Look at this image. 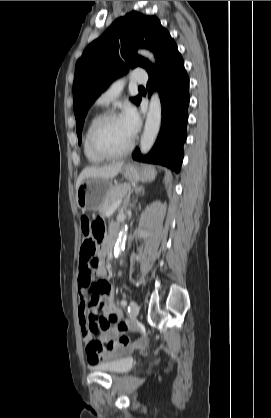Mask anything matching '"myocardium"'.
Wrapping results in <instances>:
<instances>
[{"label":"myocardium","mask_w":271,"mask_h":418,"mask_svg":"<svg viewBox=\"0 0 271 418\" xmlns=\"http://www.w3.org/2000/svg\"><path fill=\"white\" fill-rule=\"evenodd\" d=\"M119 117L120 115L117 112L109 111V112L102 114L100 117H98V119L93 124L89 133V145H90L91 150L99 157H102L104 159H115V158L126 156L132 151L134 147L133 138L131 139L128 146L119 152H109L103 149L97 142V135L101 127L109 120L119 118Z\"/></svg>","instance_id":"myocardium-1"}]
</instances>
